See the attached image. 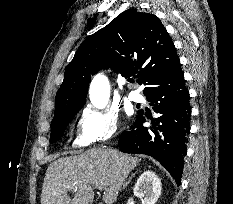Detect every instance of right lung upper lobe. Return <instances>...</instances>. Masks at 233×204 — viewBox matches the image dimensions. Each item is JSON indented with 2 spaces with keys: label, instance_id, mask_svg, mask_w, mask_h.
<instances>
[{
  "label": "right lung upper lobe",
  "instance_id": "cb5924a9",
  "mask_svg": "<svg viewBox=\"0 0 233 204\" xmlns=\"http://www.w3.org/2000/svg\"><path fill=\"white\" fill-rule=\"evenodd\" d=\"M178 62L175 46L158 17L126 10L79 46L57 91L53 120L84 105L91 76L103 68L112 67L125 78L136 75L138 83L148 86Z\"/></svg>",
  "mask_w": 233,
  "mask_h": 204
}]
</instances>
